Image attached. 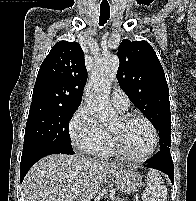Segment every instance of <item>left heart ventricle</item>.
Listing matches in <instances>:
<instances>
[{"label":"left heart ventricle","instance_id":"left-heart-ventricle-1","mask_svg":"<svg viewBox=\"0 0 196 201\" xmlns=\"http://www.w3.org/2000/svg\"><path fill=\"white\" fill-rule=\"evenodd\" d=\"M110 130L118 135L123 148L132 156L140 157L151 148L152 133L142 121L122 124L120 119H117Z\"/></svg>","mask_w":196,"mask_h":201}]
</instances>
